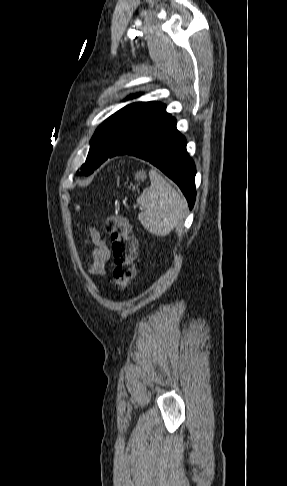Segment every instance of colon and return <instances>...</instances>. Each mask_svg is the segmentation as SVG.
Returning <instances> with one entry per match:
<instances>
[{"label": "colon", "mask_w": 287, "mask_h": 486, "mask_svg": "<svg viewBox=\"0 0 287 486\" xmlns=\"http://www.w3.org/2000/svg\"><path fill=\"white\" fill-rule=\"evenodd\" d=\"M104 225L112 241V281L117 289H125L135 276L137 240L130 233L129 223L120 216L106 218Z\"/></svg>", "instance_id": "obj_1"}]
</instances>
